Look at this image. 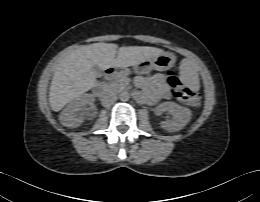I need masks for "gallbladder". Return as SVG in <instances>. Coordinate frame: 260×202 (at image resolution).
I'll use <instances>...</instances> for the list:
<instances>
[{
    "instance_id": "bac80fb5",
    "label": "gallbladder",
    "mask_w": 260,
    "mask_h": 202,
    "mask_svg": "<svg viewBox=\"0 0 260 202\" xmlns=\"http://www.w3.org/2000/svg\"><path fill=\"white\" fill-rule=\"evenodd\" d=\"M92 70H93L95 76H97V77L102 76V70L97 65L93 66Z\"/></svg>"
}]
</instances>
